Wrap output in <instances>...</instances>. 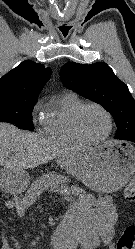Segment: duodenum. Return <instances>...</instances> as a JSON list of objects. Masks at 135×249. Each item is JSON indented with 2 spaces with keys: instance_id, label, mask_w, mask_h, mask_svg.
I'll return each mask as SVG.
<instances>
[{
  "instance_id": "1",
  "label": "duodenum",
  "mask_w": 135,
  "mask_h": 249,
  "mask_svg": "<svg viewBox=\"0 0 135 249\" xmlns=\"http://www.w3.org/2000/svg\"><path fill=\"white\" fill-rule=\"evenodd\" d=\"M62 246L64 249H90L91 242L87 234H80L67 238Z\"/></svg>"
}]
</instances>
